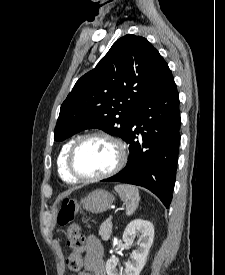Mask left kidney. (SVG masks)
<instances>
[{
  "instance_id": "1",
  "label": "left kidney",
  "mask_w": 225,
  "mask_h": 275,
  "mask_svg": "<svg viewBox=\"0 0 225 275\" xmlns=\"http://www.w3.org/2000/svg\"><path fill=\"white\" fill-rule=\"evenodd\" d=\"M139 236V247L131 253V261L125 264V272H119L116 268L119 260L110 258L106 262L107 275H139L143 269L149 250L153 244L154 226L151 222L137 219L128 224L124 233L123 241L132 244L134 236Z\"/></svg>"
}]
</instances>
